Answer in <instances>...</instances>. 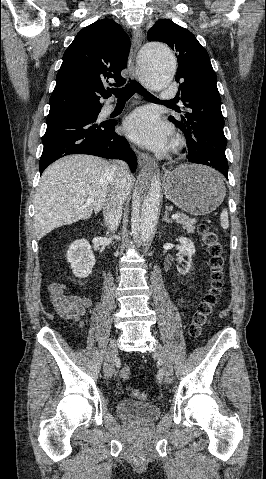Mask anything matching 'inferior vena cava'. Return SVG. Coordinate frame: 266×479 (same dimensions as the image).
Returning <instances> with one entry per match:
<instances>
[{
  "label": "inferior vena cava",
  "mask_w": 266,
  "mask_h": 479,
  "mask_svg": "<svg viewBox=\"0 0 266 479\" xmlns=\"http://www.w3.org/2000/svg\"><path fill=\"white\" fill-rule=\"evenodd\" d=\"M111 182L103 205V215L106 226L115 231L122 217L125 188L130 177L129 168L123 161H116L110 166Z\"/></svg>",
  "instance_id": "1"
}]
</instances>
